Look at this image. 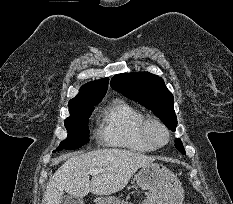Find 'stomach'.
Listing matches in <instances>:
<instances>
[{
  "label": "stomach",
  "mask_w": 233,
  "mask_h": 204,
  "mask_svg": "<svg viewBox=\"0 0 233 204\" xmlns=\"http://www.w3.org/2000/svg\"><path fill=\"white\" fill-rule=\"evenodd\" d=\"M134 179L142 188L148 190L142 204H182L183 187L178 178L164 165L150 163L139 168ZM100 204H131L118 199H104Z\"/></svg>",
  "instance_id": "obj_1"
}]
</instances>
